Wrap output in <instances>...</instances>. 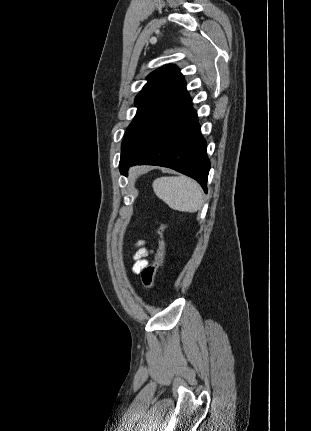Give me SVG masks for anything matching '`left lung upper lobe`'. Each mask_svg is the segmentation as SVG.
Segmentation results:
<instances>
[{
  "mask_svg": "<svg viewBox=\"0 0 311 431\" xmlns=\"http://www.w3.org/2000/svg\"><path fill=\"white\" fill-rule=\"evenodd\" d=\"M147 80V84L135 98L138 110L124 135L121 153L130 147L148 121L186 85L175 65L158 68L147 77Z\"/></svg>",
  "mask_w": 311,
  "mask_h": 431,
  "instance_id": "obj_1",
  "label": "left lung upper lobe"
}]
</instances>
